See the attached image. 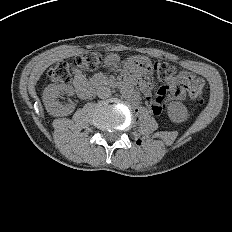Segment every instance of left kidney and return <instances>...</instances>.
Segmentation results:
<instances>
[{
	"instance_id": "5707ae66",
	"label": "left kidney",
	"mask_w": 232,
	"mask_h": 232,
	"mask_svg": "<svg viewBox=\"0 0 232 232\" xmlns=\"http://www.w3.org/2000/svg\"><path fill=\"white\" fill-rule=\"evenodd\" d=\"M170 120L174 123H182L189 118L188 109L181 102H173L167 110Z\"/></svg>"
}]
</instances>
